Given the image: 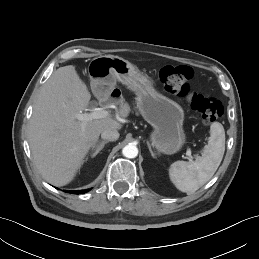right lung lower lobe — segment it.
<instances>
[{
  "label": "right lung lower lobe",
  "mask_w": 259,
  "mask_h": 259,
  "mask_svg": "<svg viewBox=\"0 0 259 259\" xmlns=\"http://www.w3.org/2000/svg\"><path fill=\"white\" fill-rule=\"evenodd\" d=\"M89 191V189H87V190H80V191H67V192H69V193H72V194H82V193H86V192H88Z\"/></svg>",
  "instance_id": "98d812e1"
}]
</instances>
